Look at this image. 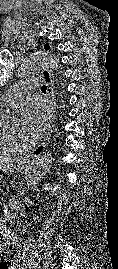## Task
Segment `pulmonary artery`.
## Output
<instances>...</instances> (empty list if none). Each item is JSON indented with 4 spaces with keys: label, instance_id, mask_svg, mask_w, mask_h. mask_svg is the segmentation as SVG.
Here are the masks:
<instances>
[{
    "label": "pulmonary artery",
    "instance_id": "obj_1",
    "mask_svg": "<svg viewBox=\"0 0 118 269\" xmlns=\"http://www.w3.org/2000/svg\"><path fill=\"white\" fill-rule=\"evenodd\" d=\"M39 82L38 79H23L16 83L5 95L3 103L9 106H18L30 98L29 90Z\"/></svg>",
    "mask_w": 118,
    "mask_h": 269
}]
</instances>
